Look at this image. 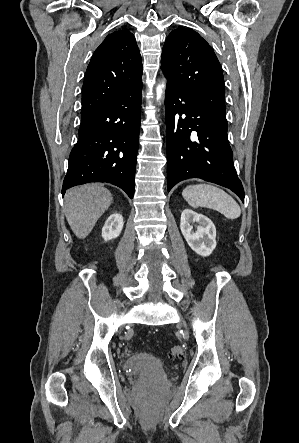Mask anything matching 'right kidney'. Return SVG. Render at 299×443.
I'll return each mask as SVG.
<instances>
[{
    "label": "right kidney",
    "instance_id": "right-kidney-1",
    "mask_svg": "<svg viewBox=\"0 0 299 443\" xmlns=\"http://www.w3.org/2000/svg\"><path fill=\"white\" fill-rule=\"evenodd\" d=\"M123 217L121 214H111L102 228V237L105 241L118 237L123 228Z\"/></svg>",
    "mask_w": 299,
    "mask_h": 443
}]
</instances>
